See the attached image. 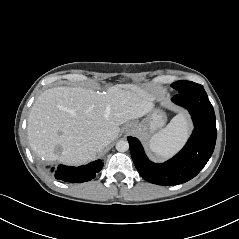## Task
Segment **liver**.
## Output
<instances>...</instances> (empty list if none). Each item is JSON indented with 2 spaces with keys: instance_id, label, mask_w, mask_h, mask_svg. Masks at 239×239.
I'll list each match as a JSON object with an SVG mask.
<instances>
[{
  "instance_id": "6515ba94",
  "label": "liver",
  "mask_w": 239,
  "mask_h": 239,
  "mask_svg": "<svg viewBox=\"0 0 239 239\" xmlns=\"http://www.w3.org/2000/svg\"><path fill=\"white\" fill-rule=\"evenodd\" d=\"M154 95L133 84H116L106 93L81 87H55L33 104L27 134L31 148L46 161L80 165L113 141L119 126L154 108Z\"/></svg>"
}]
</instances>
